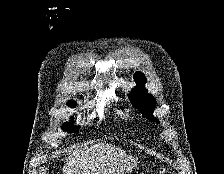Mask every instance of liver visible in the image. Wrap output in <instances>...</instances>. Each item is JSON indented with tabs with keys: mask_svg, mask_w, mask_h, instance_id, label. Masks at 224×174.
<instances>
[{
	"mask_svg": "<svg viewBox=\"0 0 224 174\" xmlns=\"http://www.w3.org/2000/svg\"><path fill=\"white\" fill-rule=\"evenodd\" d=\"M125 158V151L108 143L74 150L66 159L63 174H95Z\"/></svg>",
	"mask_w": 224,
	"mask_h": 174,
	"instance_id": "6515ba94",
	"label": "liver"
}]
</instances>
